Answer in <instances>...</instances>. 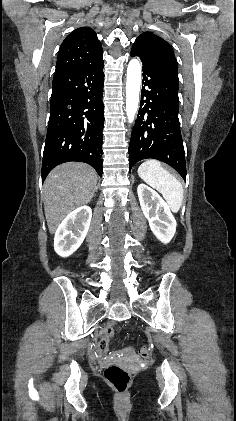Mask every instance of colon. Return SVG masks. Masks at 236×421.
<instances>
[{"instance_id":"1","label":"colon","mask_w":236,"mask_h":421,"mask_svg":"<svg viewBox=\"0 0 236 421\" xmlns=\"http://www.w3.org/2000/svg\"><path fill=\"white\" fill-rule=\"evenodd\" d=\"M114 335L112 327H107L104 332V336L101 338L98 344L100 353L105 354L108 351L109 343ZM140 354L144 359H148L151 355L148 346H142ZM104 377L106 381L118 392L126 391L131 384V373L119 365L112 364L106 367L104 371Z\"/></svg>"}]
</instances>
